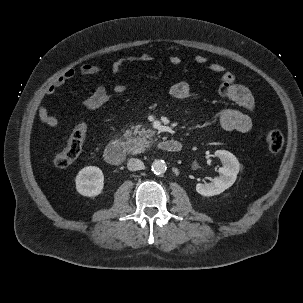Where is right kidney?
<instances>
[{
    "mask_svg": "<svg viewBox=\"0 0 303 303\" xmlns=\"http://www.w3.org/2000/svg\"><path fill=\"white\" fill-rule=\"evenodd\" d=\"M75 182L79 194L94 197L99 195L104 188V175L100 168L87 166L79 171Z\"/></svg>",
    "mask_w": 303,
    "mask_h": 303,
    "instance_id": "1",
    "label": "right kidney"
}]
</instances>
